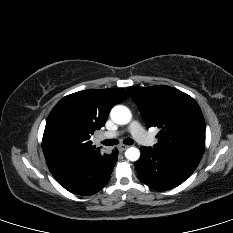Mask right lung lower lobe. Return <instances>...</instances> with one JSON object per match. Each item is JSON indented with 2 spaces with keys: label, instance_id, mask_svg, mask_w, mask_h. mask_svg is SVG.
Instances as JSON below:
<instances>
[{
  "label": "right lung lower lobe",
  "instance_id": "1",
  "mask_svg": "<svg viewBox=\"0 0 233 233\" xmlns=\"http://www.w3.org/2000/svg\"><path fill=\"white\" fill-rule=\"evenodd\" d=\"M118 158L100 151L88 156H64L46 160L54 178L68 191L89 196L100 191L109 181Z\"/></svg>",
  "mask_w": 233,
  "mask_h": 233
}]
</instances>
